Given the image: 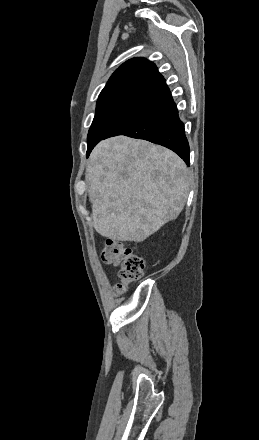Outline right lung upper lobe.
<instances>
[{
	"label": "right lung upper lobe",
	"mask_w": 259,
	"mask_h": 440,
	"mask_svg": "<svg viewBox=\"0 0 259 440\" xmlns=\"http://www.w3.org/2000/svg\"><path fill=\"white\" fill-rule=\"evenodd\" d=\"M162 79L154 63L145 58H133L112 74L99 97L122 92L147 93Z\"/></svg>",
	"instance_id": "right-lung-upper-lobe-1"
}]
</instances>
